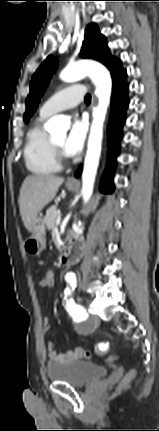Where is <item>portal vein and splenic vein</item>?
I'll list each match as a JSON object with an SVG mask.
<instances>
[{"instance_id":"18ae733b","label":"portal vein and splenic vein","mask_w":159,"mask_h":431,"mask_svg":"<svg viewBox=\"0 0 159 431\" xmlns=\"http://www.w3.org/2000/svg\"><path fill=\"white\" fill-rule=\"evenodd\" d=\"M60 224V218H57L56 219V225H59Z\"/></svg>"}]
</instances>
